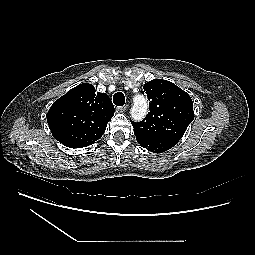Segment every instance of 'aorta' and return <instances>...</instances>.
Wrapping results in <instances>:
<instances>
[{
  "mask_svg": "<svg viewBox=\"0 0 255 255\" xmlns=\"http://www.w3.org/2000/svg\"><path fill=\"white\" fill-rule=\"evenodd\" d=\"M148 105L146 99L139 95L134 99V106L131 109V116L135 120H141L147 113Z\"/></svg>",
  "mask_w": 255,
  "mask_h": 255,
  "instance_id": "aorta-1",
  "label": "aorta"
}]
</instances>
